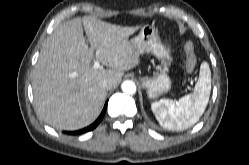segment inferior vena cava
Instances as JSON below:
<instances>
[{"label": "inferior vena cava", "instance_id": "602c4592", "mask_svg": "<svg viewBox=\"0 0 249 165\" xmlns=\"http://www.w3.org/2000/svg\"><path fill=\"white\" fill-rule=\"evenodd\" d=\"M101 87L103 89H106V90H109L112 88V83L110 80H107V79H104L102 82H101Z\"/></svg>", "mask_w": 249, "mask_h": 165}]
</instances>
